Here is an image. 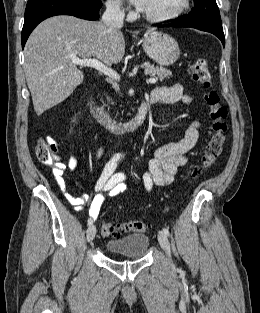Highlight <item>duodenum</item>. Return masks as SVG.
<instances>
[{
  "instance_id": "obj_1",
  "label": "duodenum",
  "mask_w": 260,
  "mask_h": 313,
  "mask_svg": "<svg viewBox=\"0 0 260 313\" xmlns=\"http://www.w3.org/2000/svg\"><path fill=\"white\" fill-rule=\"evenodd\" d=\"M153 103L151 99H145L138 107L136 116L127 122H120L115 120L103 108L98 107L93 101V92L90 91L86 99V107L90 114L99 122L107 125L117 133L121 134H134L138 132L147 115L149 106Z\"/></svg>"
}]
</instances>
